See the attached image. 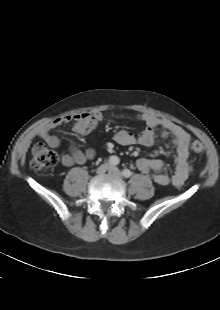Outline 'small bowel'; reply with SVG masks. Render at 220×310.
<instances>
[{
	"mask_svg": "<svg viewBox=\"0 0 220 310\" xmlns=\"http://www.w3.org/2000/svg\"><path fill=\"white\" fill-rule=\"evenodd\" d=\"M137 118L147 126L143 132L135 135L131 131L121 129L113 134V141L123 146L135 144L150 146L155 140V128H162V136L170 139L175 147L176 156L173 175L169 176L166 173L167 166L159 159L139 158L136 166L140 172L151 177L158 185L164 186L171 182L175 186H182L191 174L189 153L190 134L182 126L169 119L146 113L137 114ZM103 121L104 116L101 112H84L72 116H64L53 119L43 125L38 132V136L50 147L58 148L60 146V140L57 136L51 134L53 129L72 122L73 131L78 135L86 136ZM95 156L96 152L92 148L81 151L71 146L68 153H61L60 160L64 166H73L93 160Z\"/></svg>",
	"mask_w": 220,
	"mask_h": 310,
	"instance_id": "c3829d8e",
	"label": "small bowel"
}]
</instances>
